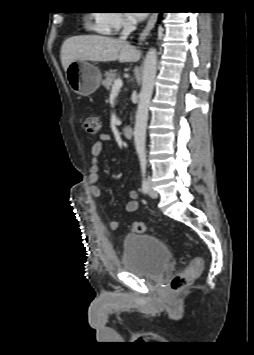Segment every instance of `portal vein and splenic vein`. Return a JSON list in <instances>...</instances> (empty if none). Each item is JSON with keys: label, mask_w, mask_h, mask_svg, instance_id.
Here are the masks:
<instances>
[{"label": "portal vein and splenic vein", "mask_w": 254, "mask_h": 355, "mask_svg": "<svg viewBox=\"0 0 254 355\" xmlns=\"http://www.w3.org/2000/svg\"><path fill=\"white\" fill-rule=\"evenodd\" d=\"M122 85H123V81H122L121 79H116V80L114 81L113 86H112V91H113V92H114V91H119L120 88L122 87Z\"/></svg>", "instance_id": "1"}]
</instances>
